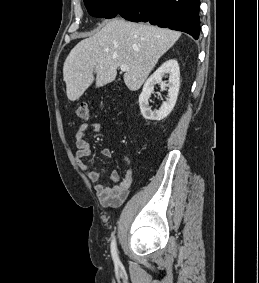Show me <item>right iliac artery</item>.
<instances>
[{
	"label": "right iliac artery",
	"mask_w": 259,
	"mask_h": 283,
	"mask_svg": "<svg viewBox=\"0 0 259 283\" xmlns=\"http://www.w3.org/2000/svg\"><path fill=\"white\" fill-rule=\"evenodd\" d=\"M111 254H112V258L115 264L120 263L118 254H117V248H116V240L115 237L113 238L112 242H111Z\"/></svg>",
	"instance_id": "1"
}]
</instances>
